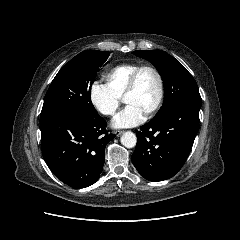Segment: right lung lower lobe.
Instances as JSON below:
<instances>
[{"mask_svg":"<svg viewBox=\"0 0 240 240\" xmlns=\"http://www.w3.org/2000/svg\"><path fill=\"white\" fill-rule=\"evenodd\" d=\"M97 115L56 114L40 121L41 148L49 169L65 184L85 188L103 169L105 147L114 138Z\"/></svg>","mask_w":240,"mask_h":240,"instance_id":"1","label":"right lung lower lobe"}]
</instances>
